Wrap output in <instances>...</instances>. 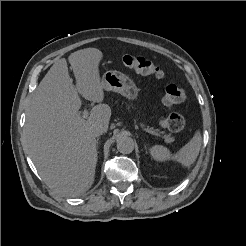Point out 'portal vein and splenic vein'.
I'll return each instance as SVG.
<instances>
[{
    "instance_id": "18ae733b",
    "label": "portal vein and splenic vein",
    "mask_w": 246,
    "mask_h": 246,
    "mask_svg": "<svg viewBox=\"0 0 246 246\" xmlns=\"http://www.w3.org/2000/svg\"><path fill=\"white\" fill-rule=\"evenodd\" d=\"M89 115L88 111L85 109L83 112H82V117L83 118H87ZM144 131L152 134V135H157L152 129H148V128H143Z\"/></svg>"
}]
</instances>
